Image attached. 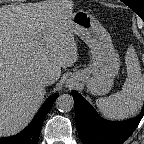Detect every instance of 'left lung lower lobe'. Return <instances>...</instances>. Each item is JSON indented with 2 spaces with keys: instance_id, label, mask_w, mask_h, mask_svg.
<instances>
[{
  "instance_id": "obj_1",
  "label": "left lung lower lobe",
  "mask_w": 144,
  "mask_h": 144,
  "mask_svg": "<svg viewBox=\"0 0 144 144\" xmlns=\"http://www.w3.org/2000/svg\"><path fill=\"white\" fill-rule=\"evenodd\" d=\"M75 105V116L79 136L84 144H122L137 128L144 116L141 113L124 121H107L95 112L93 107L77 92L72 91Z\"/></svg>"
}]
</instances>
